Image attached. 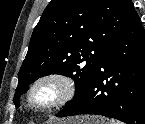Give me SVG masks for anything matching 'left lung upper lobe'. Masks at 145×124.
<instances>
[{"label": "left lung upper lobe", "instance_id": "5c2ea615", "mask_svg": "<svg viewBox=\"0 0 145 124\" xmlns=\"http://www.w3.org/2000/svg\"><path fill=\"white\" fill-rule=\"evenodd\" d=\"M133 12L131 0H52L33 31L20 68L16 107L28 85L48 74L71 77L76 87L72 101L77 99Z\"/></svg>", "mask_w": 145, "mask_h": 124}]
</instances>
